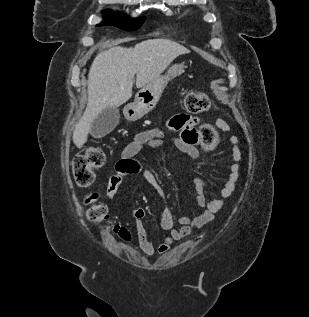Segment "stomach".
Listing matches in <instances>:
<instances>
[{
	"label": "stomach",
	"mask_w": 309,
	"mask_h": 317,
	"mask_svg": "<svg viewBox=\"0 0 309 317\" xmlns=\"http://www.w3.org/2000/svg\"><path fill=\"white\" fill-rule=\"evenodd\" d=\"M184 72L183 64L172 65L164 76L140 89L134 102L124 108V116L128 121H136L150 112L159 101L168 82Z\"/></svg>",
	"instance_id": "obj_1"
}]
</instances>
